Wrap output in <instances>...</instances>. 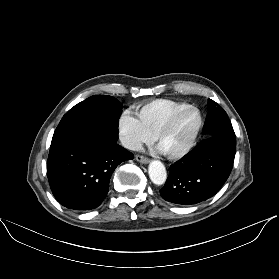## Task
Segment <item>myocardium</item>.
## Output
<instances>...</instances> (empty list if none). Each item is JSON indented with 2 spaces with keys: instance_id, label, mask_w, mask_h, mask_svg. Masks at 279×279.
Returning <instances> with one entry per match:
<instances>
[{
  "instance_id": "1",
  "label": "myocardium",
  "mask_w": 279,
  "mask_h": 279,
  "mask_svg": "<svg viewBox=\"0 0 279 279\" xmlns=\"http://www.w3.org/2000/svg\"><path fill=\"white\" fill-rule=\"evenodd\" d=\"M187 110H194L197 112L198 118H199L198 124H197L193 134L191 135L188 143L181 150H179L177 152H173V153L164 152L165 156L171 160L181 159V158L185 157L194 147L196 140L203 127V116H202L201 111L193 105H187V106H184V107L174 111L167 118V120L163 123V125L159 128V130L156 132V134L154 135L155 142L159 145L161 139L169 132V130L171 129V127L173 126V124L175 123L177 118Z\"/></svg>"
}]
</instances>
